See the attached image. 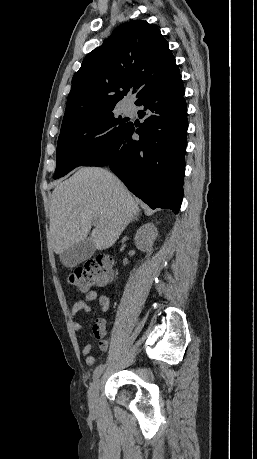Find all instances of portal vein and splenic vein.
<instances>
[{"instance_id":"1","label":"portal vein and splenic vein","mask_w":257,"mask_h":459,"mask_svg":"<svg viewBox=\"0 0 257 459\" xmlns=\"http://www.w3.org/2000/svg\"><path fill=\"white\" fill-rule=\"evenodd\" d=\"M94 222H95V223L98 222L97 218L94 219Z\"/></svg>"}]
</instances>
